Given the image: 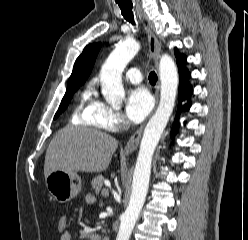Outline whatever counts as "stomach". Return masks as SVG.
I'll list each match as a JSON object with an SVG mask.
<instances>
[{"label": "stomach", "mask_w": 248, "mask_h": 240, "mask_svg": "<svg viewBox=\"0 0 248 240\" xmlns=\"http://www.w3.org/2000/svg\"><path fill=\"white\" fill-rule=\"evenodd\" d=\"M49 193L59 203H66L81 191V178L75 172L56 170L45 178Z\"/></svg>", "instance_id": "0dacf381"}]
</instances>
